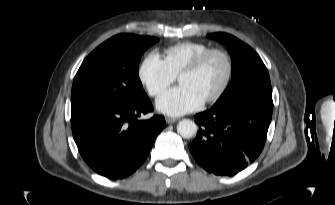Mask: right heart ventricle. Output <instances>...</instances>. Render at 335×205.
<instances>
[{"mask_svg":"<svg viewBox=\"0 0 335 205\" xmlns=\"http://www.w3.org/2000/svg\"><path fill=\"white\" fill-rule=\"evenodd\" d=\"M211 47L205 43L185 41L165 48L162 52V60L174 75L179 73L193 62L199 55Z\"/></svg>","mask_w":335,"mask_h":205,"instance_id":"e07e8e85","label":"right heart ventricle"}]
</instances>
